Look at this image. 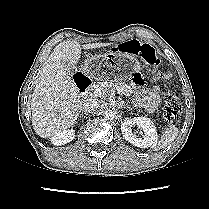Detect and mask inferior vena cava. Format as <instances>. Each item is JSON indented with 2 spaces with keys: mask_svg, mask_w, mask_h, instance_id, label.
Here are the masks:
<instances>
[{
  "mask_svg": "<svg viewBox=\"0 0 209 209\" xmlns=\"http://www.w3.org/2000/svg\"><path fill=\"white\" fill-rule=\"evenodd\" d=\"M99 107V102L95 98H87L83 102V110L85 113H93L95 112Z\"/></svg>",
  "mask_w": 209,
  "mask_h": 209,
  "instance_id": "obj_1",
  "label": "inferior vena cava"
}]
</instances>
